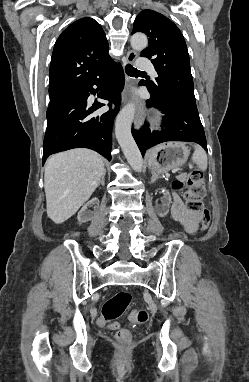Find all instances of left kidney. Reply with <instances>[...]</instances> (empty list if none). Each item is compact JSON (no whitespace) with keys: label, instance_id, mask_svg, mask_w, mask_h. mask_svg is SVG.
<instances>
[{"label":"left kidney","instance_id":"5707ae66","mask_svg":"<svg viewBox=\"0 0 249 382\" xmlns=\"http://www.w3.org/2000/svg\"><path fill=\"white\" fill-rule=\"evenodd\" d=\"M163 189V188H162ZM170 190L169 189H164L163 192L160 194L159 201H158V207L159 208H168L169 203L171 202V197L170 195Z\"/></svg>","mask_w":249,"mask_h":382}]
</instances>
